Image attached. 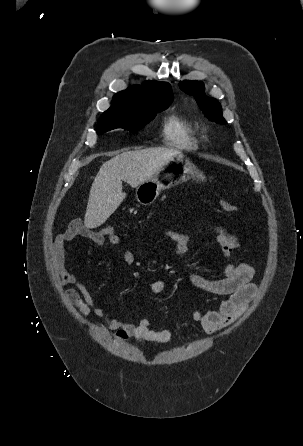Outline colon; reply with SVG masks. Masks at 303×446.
Here are the masks:
<instances>
[{
	"label": "colon",
	"mask_w": 303,
	"mask_h": 446,
	"mask_svg": "<svg viewBox=\"0 0 303 446\" xmlns=\"http://www.w3.org/2000/svg\"><path fill=\"white\" fill-rule=\"evenodd\" d=\"M219 206L220 208L228 213L234 212L236 210V207L230 203L227 200H219ZM102 234L106 237L115 236V229L113 226H106L101 230Z\"/></svg>",
	"instance_id": "colon-1"
}]
</instances>
